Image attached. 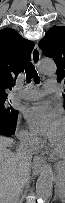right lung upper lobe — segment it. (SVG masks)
I'll list each match as a JSON object with an SVG mask.
<instances>
[{
	"label": "right lung upper lobe",
	"mask_w": 65,
	"mask_h": 203,
	"mask_svg": "<svg viewBox=\"0 0 65 203\" xmlns=\"http://www.w3.org/2000/svg\"><path fill=\"white\" fill-rule=\"evenodd\" d=\"M34 43L11 28L0 30V98H7L17 75L30 62Z\"/></svg>",
	"instance_id": "obj_1"
}]
</instances>
